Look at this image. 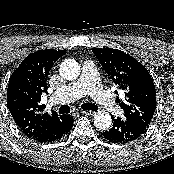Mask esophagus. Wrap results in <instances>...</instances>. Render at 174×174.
<instances>
[{
	"label": "esophagus",
	"instance_id": "obj_1",
	"mask_svg": "<svg viewBox=\"0 0 174 174\" xmlns=\"http://www.w3.org/2000/svg\"><path fill=\"white\" fill-rule=\"evenodd\" d=\"M80 113L81 114H85V115H92V114H94V111H91V110H81Z\"/></svg>",
	"mask_w": 174,
	"mask_h": 174
}]
</instances>
